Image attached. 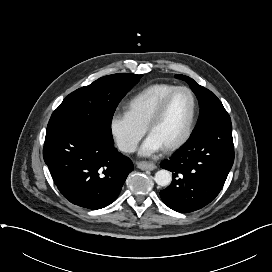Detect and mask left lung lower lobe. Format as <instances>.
<instances>
[{
	"label": "left lung lower lobe",
	"instance_id": "0a47b994",
	"mask_svg": "<svg viewBox=\"0 0 272 272\" xmlns=\"http://www.w3.org/2000/svg\"><path fill=\"white\" fill-rule=\"evenodd\" d=\"M234 162L232 124H217L191 134L188 141L160 166L173 173L160 192L171 209L188 213L209 204L221 191Z\"/></svg>",
	"mask_w": 272,
	"mask_h": 272
}]
</instances>
